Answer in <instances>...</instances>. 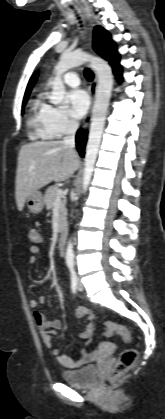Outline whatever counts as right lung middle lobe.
Instances as JSON below:
<instances>
[{
  "label": "right lung middle lobe",
  "instance_id": "right-lung-middle-lobe-1",
  "mask_svg": "<svg viewBox=\"0 0 165 419\" xmlns=\"http://www.w3.org/2000/svg\"><path fill=\"white\" fill-rule=\"evenodd\" d=\"M27 100H28V96H27V97H24L22 107H24V106H25V104H26Z\"/></svg>",
  "mask_w": 165,
  "mask_h": 419
}]
</instances>
